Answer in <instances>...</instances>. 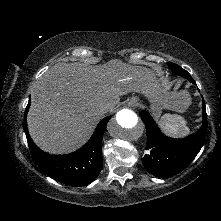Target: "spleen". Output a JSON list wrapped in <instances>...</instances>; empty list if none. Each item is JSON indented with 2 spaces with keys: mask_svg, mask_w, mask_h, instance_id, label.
I'll return each instance as SVG.
<instances>
[{
  "mask_svg": "<svg viewBox=\"0 0 221 221\" xmlns=\"http://www.w3.org/2000/svg\"><path fill=\"white\" fill-rule=\"evenodd\" d=\"M161 129L170 136L184 137L189 133L186 120L180 115L165 114L159 120Z\"/></svg>",
  "mask_w": 221,
  "mask_h": 221,
  "instance_id": "3e777b00",
  "label": "spleen"
}]
</instances>
